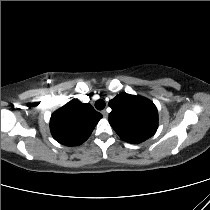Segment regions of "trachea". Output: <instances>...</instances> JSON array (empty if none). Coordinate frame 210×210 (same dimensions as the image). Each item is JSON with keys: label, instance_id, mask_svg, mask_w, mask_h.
<instances>
[{"label": "trachea", "instance_id": "3493384b", "mask_svg": "<svg viewBox=\"0 0 210 210\" xmlns=\"http://www.w3.org/2000/svg\"><path fill=\"white\" fill-rule=\"evenodd\" d=\"M105 101L104 100H97L96 102H95V107H96V109H98V110H103L104 108H105Z\"/></svg>", "mask_w": 210, "mask_h": 210}]
</instances>
